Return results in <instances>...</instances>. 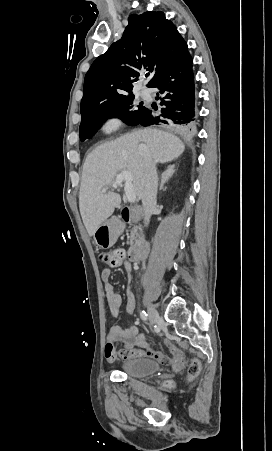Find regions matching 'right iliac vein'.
<instances>
[{
    "label": "right iliac vein",
    "mask_w": 272,
    "mask_h": 451,
    "mask_svg": "<svg viewBox=\"0 0 272 451\" xmlns=\"http://www.w3.org/2000/svg\"><path fill=\"white\" fill-rule=\"evenodd\" d=\"M148 315H149V320L151 321V326L153 327L154 324L159 319V313L155 309V307L153 305H151V304L148 305Z\"/></svg>",
    "instance_id": "63e3f726"
}]
</instances>
